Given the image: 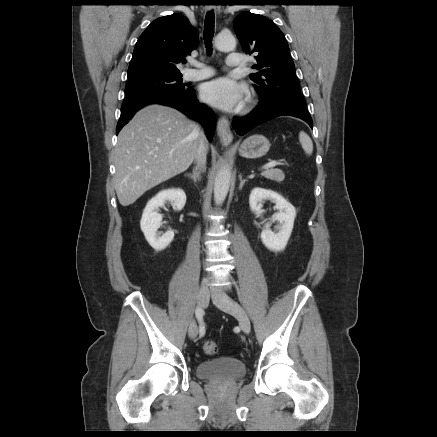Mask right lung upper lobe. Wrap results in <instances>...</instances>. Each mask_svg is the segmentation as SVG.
I'll return each mask as SVG.
<instances>
[{
	"instance_id": "1",
	"label": "right lung upper lobe",
	"mask_w": 437,
	"mask_h": 437,
	"mask_svg": "<svg viewBox=\"0 0 437 437\" xmlns=\"http://www.w3.org/2000/svg\"><path fill=\"white\" fill-rule=\"evenodd\" d=\"M198 45V32L186 17L172 14L154 20L139 37L128 76L181 74L176 64L185 61Z\"/></svg>"
}]
</instances>
